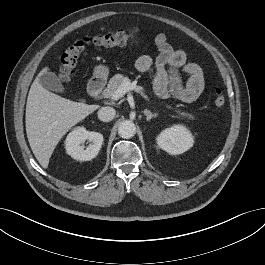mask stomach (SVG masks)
Here are the masks:
<instances>
[{"label": "stomach", "mask_w": 265, "mask_h": 265, "mask_svg": "<svg viewBox=\"0 0 265 265\" xmlns=\"http://www.w3.org/2000/svg\"><path fill=\"white\" fill-rule=\"evenodd\" d=\"M109 74V69L105 65H98L94 68V77L98 80H105Z\"/></svg>", "instance_id": "0dacf381"}]
</instances>
